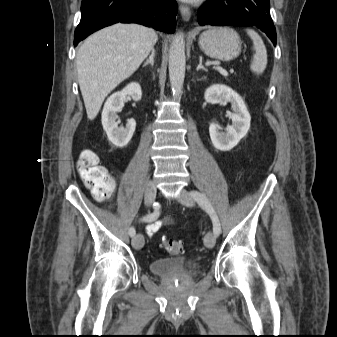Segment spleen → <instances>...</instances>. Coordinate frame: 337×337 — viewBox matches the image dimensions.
Segmentation results:
<instances>
[{
    "instance_id": "3e777b00",
    "label": "spleen",
    "mask_w": 337,
    "mask_h": 337,
    "mask_svg": "<svg viewBox=\"0 0 337 337\" xmlns=\"http://www.w3.org/2000/svg\"><path fill=\"white\" fill-rule=\"evenodd\" d=\"M249 37L252 39L253 42V50L255 53L253 54V58L250 64V69L255 74L259 75L264 72L267 65V50L263 43L262 38L259 36L258 33H256L252 29L246 30Z\"/></svg>"
}]
</instances>
